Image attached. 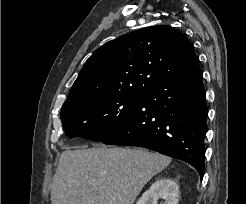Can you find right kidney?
I'll use <instances>...</instances> for the list:
<instances>
[{"label":"right kidney","mask_w":246,"mask_h":204,"mask_svg":"<svg viewBox=\"0 0 246 204\" xmlns=\"http://www.w3.org/2000/svg\"><path fill=\"white\" fill-rule=\"evenodd\" d=\"M179 188L177 183L169 178L158 179L143 193L136 204H157L162 198L163 204H178Z\"/></svg>","instance_id":"ca27d5eb"}]
</instances>
